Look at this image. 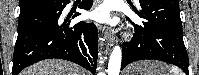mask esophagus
Listing matches in <instances>:
<instances>
[{
    "label": "esophagus",
    "instance_id": "esophagus-1",
    "mask_svg": "<svg viewBox=\"0 0 199 75\" xmlns=\"http://www.w3.org/2000/svg\"><path fill=\"white\" fill-rule=\"evenodd\" d=\"M104 38L109 46H113L115 39H114L112 31L105 29L104 30Z\"/></svg>",
    "mask_w": 199,
    "mask_h": 75
}]
</instances>
